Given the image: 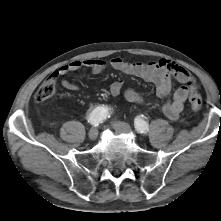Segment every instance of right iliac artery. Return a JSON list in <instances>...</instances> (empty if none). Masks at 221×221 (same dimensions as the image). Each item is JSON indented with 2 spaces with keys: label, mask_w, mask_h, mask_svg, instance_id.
<instances>
[{
  "label": "right iliac artery",
  "mask_w": 221,
  "mask_h": 221,
  "mask_svg": "<svg viewBox=\"0 0 221 221\" xmlns=\"http://www.w3.org/2000/svg\"><path fill=\"white\" fill-rule=\"evenodd\" d=\"M109 117V108L105 106H99L89 114L88 122L93 126H98Z\"/></svg>",
  "instance_id": "1"
}]
</instances>
